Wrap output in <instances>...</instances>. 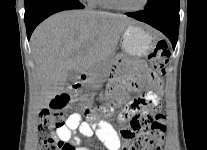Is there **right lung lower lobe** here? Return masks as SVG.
I'll list each match as a JSON object with an SVG mask.
<instances>
[{
	"mask_svg": "<svg viewBox=\"0 0 207 150\" xmlns=\"http://www.w3.org/2000/svg\"><path fill=\"white\" fill-rule=\"evenodd\" d=\"M83 8L78 0H37L25 6L24 20L28 40L36 26L50 15L63 10Z\"/></svg>",
	"mask_w": 207,
	"mask_h": 150,
	"instance_id": "obj_1",
	"label": "right lung lower lobe"
}]
</instances>
